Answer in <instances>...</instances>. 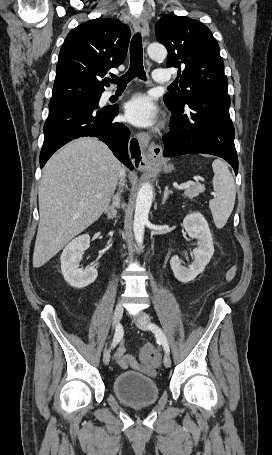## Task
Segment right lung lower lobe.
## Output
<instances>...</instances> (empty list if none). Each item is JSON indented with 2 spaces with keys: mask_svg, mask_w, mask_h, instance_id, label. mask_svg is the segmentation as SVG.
Returning <instances> with one entry per match:
<instances>
[{
  "mask_svg": "<svg viewBox=\"0 0 272 455\" xmlns=\"http://www.w3.org/2000/svg\"><path fill=\"white\" fill-rule=\"evenodd\" d=\"M117 114L118 107L99 109L98 106L64 108L49 113L44 124L45 137L40 152L41 168L60 147L83 136L99 138L122 163L133 168L127 154L130 131L123 124L112 123Z\"/></svg>",
  "mask_w": 272,
  "mask_h": 455,
  "instance_id": "98d812e1",
  "label": "right lung lower lobe"
}]
</instances>
